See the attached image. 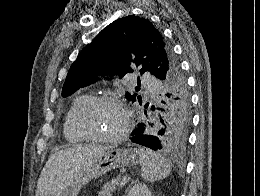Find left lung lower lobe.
<instances>
[{"instance_id": "left-lung-lower-lobe-1", "label": "left lung lower lobe", "mask_w": 260, "mask_h": 196, "mask_svg": "<svg viewBox=\"0 0 260 196\" xmlns=\"http://www.w3.org/2000/svg\"><path fill=\"white\" fill-rule=\"evenodd\" d=\"M144 131L145 129L143 124H140L139 127L131 133V135H133L131 141L153 150L159 149V139L156 136L145 134Z\"/></svg>"}]
</instances>
